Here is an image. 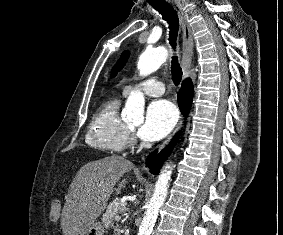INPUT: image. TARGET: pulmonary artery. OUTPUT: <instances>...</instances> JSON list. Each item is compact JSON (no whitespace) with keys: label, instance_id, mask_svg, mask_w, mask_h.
Returning a JSON list of instances; mask_svg holds the SVG:
<instances>
[{"label":"pulmonary artery","instance_id":"pulmonary-artery-1","mask_svg":"<svg viewBox=\"0 0 283 235\" xmlns=\"http://www.w3.org/2000/svg\"><path fill=\"white\" fill-rule=\"evenodd\" d=\"M134 91H142L148 96L158 97L163 95L165 87L161 81H158L155 78H149L133 85L126 86L123 90V94L127 96Z\"/></svg>","mask_w":283,"mask_h":235}]
</instances>
